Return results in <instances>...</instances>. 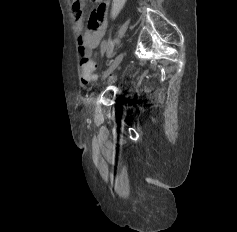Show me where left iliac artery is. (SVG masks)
<instances>
[{"label":"left iliac artery","mask_w":237,"mask_h":232,"mask_svg":"<svg viewBox=\"0 0 237 232\" xmlns=\"http://www.w3.org/2000/svg\"><path fill=\"white\" fill-rule=\"evenodd\" d=\"M106 49H107V41L103 40L102 43H101V55L102 56L104 55Z\"/></svg>","instance_id":"1"}]
</instances>
